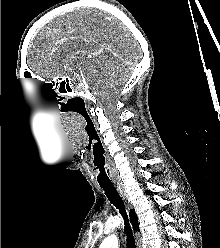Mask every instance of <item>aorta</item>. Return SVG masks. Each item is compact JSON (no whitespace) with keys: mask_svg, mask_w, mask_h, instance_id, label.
Wrapping results in <instances>:
<instances>
[{"mask_svg":"<svg viewBox=\"0 0 220 248\" xmlns=\"http://www.w3.org/2000/svg\"><path fill=\"white\" fill-rule=\"evenodd\" d=\"M99 248H118V239L115 235L108 236L104 239Z\"/></svg>","mask_w":220,"mask_h":248,"instance_id":"1","label":"aorta"}]
</instances>
